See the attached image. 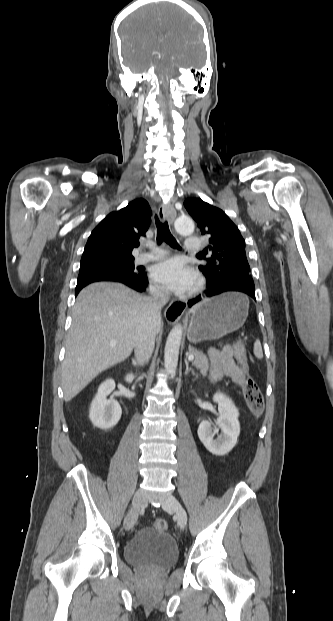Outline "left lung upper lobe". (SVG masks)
Returning a JSON list of instances; mask_svg holds the SVG:
<instances>
[{
	"mask_svg": "<svg viewBox=\"0 0 333 621\" xmlns=\"http://www.w3.org/2000/svg\"><path fill=\"white\" fill-rule=\"evenodd\" d=\"M184 206L197 222L201 234L209 236L208 250L212 255L199 266L207 282L212 285L229 277L252 279L245 241L225 212L200 198H187Z\"/></svg>",
	"mask_w": 333,
	"mask_h": 621,
	"instance_id": "1",
	"label": "left lung upper lobe"
}]
</instances>
